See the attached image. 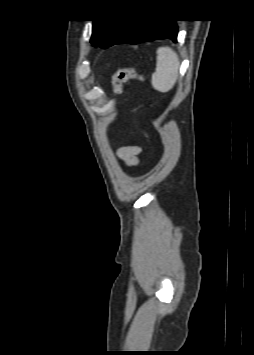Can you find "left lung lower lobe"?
Returning <instances> with one entry per match:
<instances>
[{
  "label": "left lung lower lobe",
  "mask_w": 254,
  "mask_h": 355,
  "mask_svg": "<svg viewBox=\"0 0 254 355\" xmlns=\"http://www.w3.org/2000/svg\"><path fill=\"white\" fill-rule=\"evenodd\" d=\"M177 25L175 20L164 19H131L126 24L117 43L152 42L161 39L177 40Z\"/></svg>",
  "instance_id": "1"
}]
</instances>
